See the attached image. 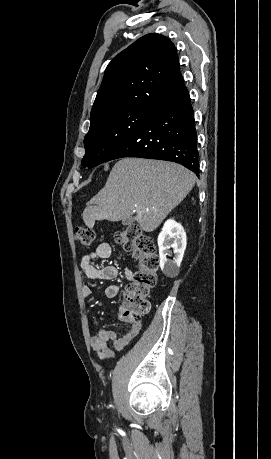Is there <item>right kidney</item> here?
<instances>
[{
	"label": "right kidney",
	"mask_w": 271,
	"mask_h": 459,
	"mask_svg": "<svg viewBox=\"0 0 271 459\" xmlns=\"http://www.w3.org/2000/svg\"><path fill=\"white\" fill-rule=\"evenodd\" d=\"M186 243V233L181 224H178L175 220H167L158 235L159 265L167 277H176L178 275ZM170 247H173L174 255H172Z\"/></svg>",
	"instance_id": "right-kidney-1"
}]
</instances>
